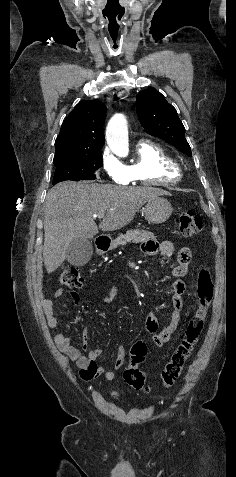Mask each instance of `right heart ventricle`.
<instances>
[{
  "label": "right heart ventricle",
  "instance_id": "e07e8e85",
  "mask_svg": "<svg viewBox=\"0 0 236 477\" xmlns=\"http://www.w3.org/2000/svg\"><path fill=\"white\" fill-rule=\"evenodd\" d=\"M127 169L131 177L127 185H173L181 179L174 158L165 148L150 140L137 144L135 159Z\"/></svg>",
  "mask_w": 236,
  "mask_h": 477
}]
</instances>
